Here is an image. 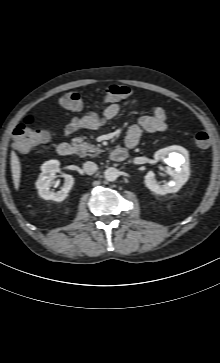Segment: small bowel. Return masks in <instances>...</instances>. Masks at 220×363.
<instances>
[{"instance_id": "small-bowel-1", "label": "small bowel", "mask_w": 220, "mask_h": 363, "mask_svg": "<svg viewBox=\"0 0 220 363\" xmlns=\"http://www.w3.org/2000/svg\"><path fill=\"white\" fill-rule=\"evenodd\" d=\"M121 111L118 102H111L102 113L88 111L79 117H75L66 125L65 135L69 136L78 129L94 130L108 120L115 118ZM167 128L165 112L160 107H155L151 112L132 125L126 135L125 144L129 148H135L144 132H163Z\"/></svg>"}]
</instances>
